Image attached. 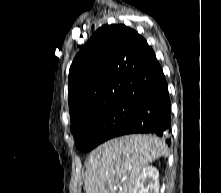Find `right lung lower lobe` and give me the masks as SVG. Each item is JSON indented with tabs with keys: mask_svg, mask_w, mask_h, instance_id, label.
Masks as SVG:
<instances>
[{
	"mask_svg": "<svg viewBox=\"0 0 221 193\" xmlns=\"http://www.w3.org/2000/svg\"><path fill=\"white\" fill-rule=\"evenodd\" d=\"M170 106L167 82L161 71L142 98L140 112L130 123L120 128L113 137L132 133H152L164 138L169 144L171 133Z\"/></svg>",
	"mask_w": 221,
	"mask_h": 193,
	"instance_id": "98d812e1",
	"label": "right lung lower lobe"
}]
</instances>
